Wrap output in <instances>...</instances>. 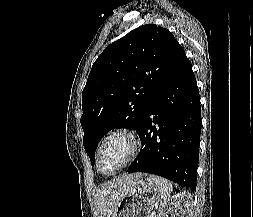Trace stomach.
Returning a JSON list of instances; mask_svg holds the SVG:
<instances>
[{
  "label": "stomach",
  "mask_w": 253,
  "mask_h": 217,
  "mask_svg": "<svg viewBox=\"0 0 253 217\" xmlns=\"http://www.w3.org/2000/svg\"><path fill=\"white\" fill-rule=\"evenodd\" d=\"M158 198V186L150 176L142 174L132 190L119 201L114 217H147Z\"/></svg>",
  "instance_id": "1"
}]
</instances>
